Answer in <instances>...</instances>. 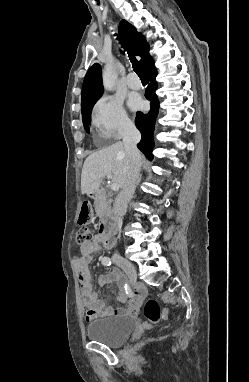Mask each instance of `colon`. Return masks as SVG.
<instances>
[{
  "label": "colon",
  "instance_id": "1",
  "mask_svg": "<svg viewBox=\"0 0 249 382\" xmlns=\"http://www.w3.org/2000/svg\"><path fill=\"white\" fill-rule=\"evenodd\" d=\"M91 220V206L89 202H84L79 213V223L81 228L76 233V242L79 245L86 244L91 238V232L87 224ZM143 313L146 322L143 323L144 329H149L150 326L157 324L160 319L167 316V311L161 310L158 302L154 298H148L143 306Z\"/></svg>",
  "mask_w": 249,
  "mask_h": 382
}]
</instances>
